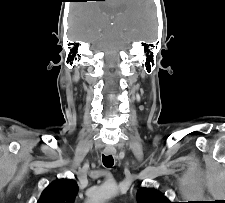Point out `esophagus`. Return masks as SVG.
I'll return each instance as SVG.
<instances>
[{"label":"esophagus","mask_w":225,"mask_h":203,"mask_svg":"<svg viewBox=\"0 0 225 203\" xmlns=\"http://www.w3.org/2000/svg\"><path fill=\"white\" fill-rule=\"evenodd\" d=\"M103 153L105 155H116V150L114 148H105Z\"/></svg>","instance_id":"esophagus-1"}]
</instances>
